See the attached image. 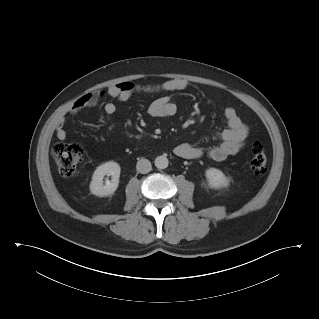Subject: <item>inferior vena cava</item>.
<instances>
[{
	"mask_svg": "<svg viewBox=\"0 0 319 319\" xmlns=\"http://www.w3.org/2000/svg\"><path fill=\"white\" fill-rule=\"evenodd\" d=\"M136 169L139 173L146 174L151 171L152 166L148 159L142 158L137 162Z\"/></svg>",
	"mask_w": 319,
	"mask_h": 319,
	"instance_id": "1",
	"label": "inferior vena cava"
}]
</instances>
